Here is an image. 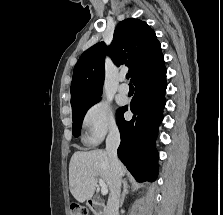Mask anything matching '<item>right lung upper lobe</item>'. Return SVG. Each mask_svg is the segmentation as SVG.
<instances>
[{
	"mask_svg": "<svg viewBox=\"0 0 223 215\" xmlns=\"http://www.w3.org/2000/svg\"><path fill=\"white\" fill-rule=\"evenodd\" d=\"M106 54L117 66L129 67L133 83L165 68L155 32L144 21L125 19L117 25L110 46L99 42L81 55L71 82L72 108L100 99Z\"/></svg>",
	"mask_w": 223,
	"mask_h": 215,
	"instance_id": "1",
	"label": "right lung upper lobe"
}]
</instances>
